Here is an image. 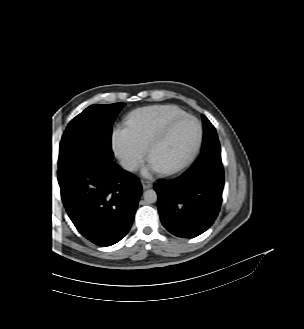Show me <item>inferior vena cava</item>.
Returning <instances> with one entry per match:
<instances>
[{"label":"inferior vena cava","instance_id":"1","mask_svg":"<svg viewBox=\"0 0 304 329\" xmlns=\"http://www.w3.org/2000/svg\"><path fill=\"white\" fill-rule=\"evenodd\" d=\"M121 167L127 171H134L136 169V163L130 159H123L120 162Z\"/></svg>","mask_w":304,"mask_h":329}]
</instances>
